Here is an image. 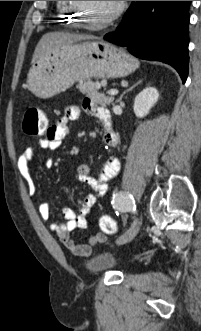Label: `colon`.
<instances>
[{"mask_svg": "<svg viewBox=\"0 0 201 331\" xmlns=\"http://www.w3.org/2000/svg\"><path fill=\"white\" fill-rule=\"evenodd\" d=\"M22 127L27 136L40 137L45 136L49 126L44 112L38 107L31 106L24 114ZM99 224L102 232L95 234L90 239L93 244L105 242V234H114L117 230L114 219L108 215L101 216Z\"/></svg>", "mask_w": 201, "mask_h": 331, "instance_id": "obj_1", "label": "colon"}]
</instances>
